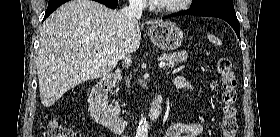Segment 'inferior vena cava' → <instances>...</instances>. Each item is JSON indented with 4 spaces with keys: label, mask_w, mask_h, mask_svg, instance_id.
Masks as SVG:
<instances>
[{
    "label": "inferior vena cava",
    "mask_w": 280,
    "mask_h": 137,
    "mask_svg": "<svg viewBox=\"0 0 280 137\" xmlns=\"http://www.w3.org/2000/svg\"><path fill=\"white\" fill-rule=\"evenodd\" d=\"M145 7L144 0H129V6H125L121 10V14L127 19V21L130 23V25L137 24V20L142 15V10ZM123 64L126 65V67L130 66L132 63L131 55L128 52H125L123 54ZM129 79L126 81L127 87H129Z\"/></svg>",
    "instance_id": "602c4592"
}]
</instances>
